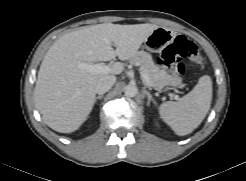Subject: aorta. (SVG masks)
<instances>
[{
  "mask_svg": "<svg viewBox=\"0 0 246 181\" xmlns=\"http://www.w3.org/2000/svg\"><path fill=\"white\" fill-rule=\"evenodd\" d=\"M124 93L127 97H135L138 93V89L135 85L129 84L125 86Z\"/></svg>",
  "mask_w": 246,
  "mask_h": 181,
  "instance_id": "aorta-1",
  "label": "aorta"
}]
</instances>
